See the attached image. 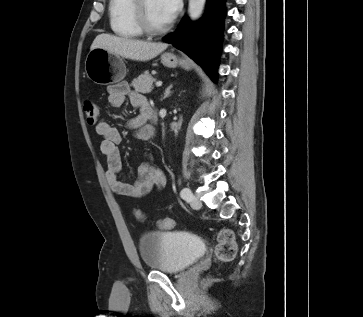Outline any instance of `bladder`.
Masks as SVG:
<instances>
[{"label":"bladder","mask_w":363,"mask_h":317,"mask_svg":"<svg viewBox=\"0 0 363 317\" xmlns=\"http://www.w3.org/2000/svg\"><path fill=\"white\" fill-rule=\"evenodd\" d=\"M205 250L201 238L184 231H149L138 240L144 266L164 274L185 271L204 255Z\"/></svg>","instance_id":"1"}]
</instances>
